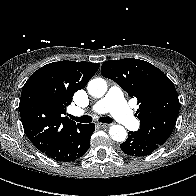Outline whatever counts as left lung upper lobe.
<instances>
[{
	"mask_svg": "<svg viewBox=\"0 0 196 196\" xmlns=\"http://www.w3.org/2000/svg\"><path fill=\"white\" fill-rule=\"evenodd\" d=\"M101 74L137 98V133L161 146L171 135L179 113L178 94L171 80L149 62L134 58L106 61Z\"/></svg>",
	"mask_w": 196,
	"mask_h": 196,
	"instance_id": "obj_1",
	"label": "left lung upper lobe"
}]
</instances>
